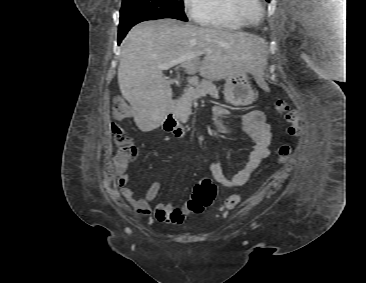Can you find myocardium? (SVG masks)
<instances>
[{"label":"myocardium","mask_w":366,"mask_h":283,"mask_svg":"<svg viewBox=\"0 0 366 283\" xmlns=\"http://www.w3.org/2000/svg\"><path fill=\"white\" fill-rule=\"evenodd\" d=\"M250 6H255L257 9L256 18L254 20L250 19L248 15V9ZM263 10L264 7L261 0H235L234 3V11L236 16L247 26L257 24L262 18Z\"/></svg>","instance_id":"1"}]
</instances>
